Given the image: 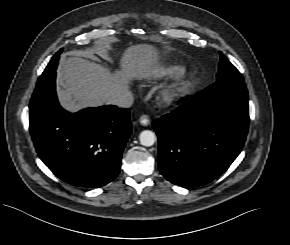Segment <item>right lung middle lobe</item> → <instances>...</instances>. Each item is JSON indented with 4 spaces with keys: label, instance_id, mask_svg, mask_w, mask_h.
<instances>
[{
    "label": "right lung middle lobe",
    "instance_id": "1",
    "mask_svg": "<svg viewBox=\"0 0 290 245\" xmlns=\"http://www.w3.org/2000/svg\"><path fill=\"white\" fill-rule=\"evenodd\" d=\"M62 50L58 51L52 58V60L49 62L48 66L45 68L43 73L51 72L53 70H56V67L58 65V60L60 57Z\"/></svg>",
    "mask_w": 290,
    "mask_h": 245
}]
</instances>
